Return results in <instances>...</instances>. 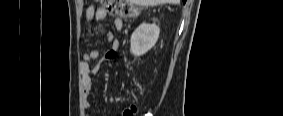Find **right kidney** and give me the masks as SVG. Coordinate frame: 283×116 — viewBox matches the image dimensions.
Wrapping results in <instances>:
<instances>
[{
    "label": "right kidney",
    "mask_w": 283,
    "mask_h": 116,
    "mask_svg": "<svg viewBox=\"0 0 283 116\" xmlns=\"http://www.w3.org/2000/svg\"><path fill=\"white\" fill-rule=\"evenodd\" d=\"M160 29L155 24L142 23L131 35V52L134 56L147 53L157 42Z\"/></svg>",
    "instance_id": "ca27d5eb"
}]
</instances>
